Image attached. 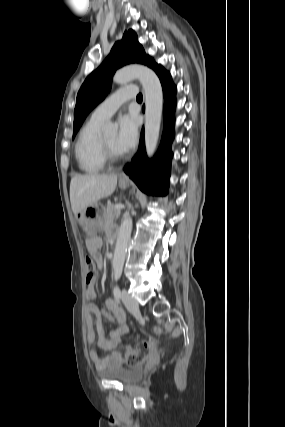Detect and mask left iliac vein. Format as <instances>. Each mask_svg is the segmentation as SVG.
<instances>
[{
	"label": "left iliac vein",
	"instance_id": "obj_1",
	"mask_svg": "<svg viewBox=\"0 0 285 427\" xmlns=\"http://www.w3.org/2000/svg\"><path fill=\"white\" fill-rule=\"evenodd\" d=\"M122 301L125 305V307L129 310V311H135L138 309V302L135 298H133L132 296L129 295V293L123 289L122 290Z\"/></svg>",
	"mask_w": 285,
	"mask_h": 427
}]
</instances>
